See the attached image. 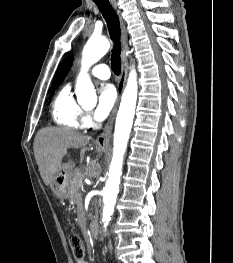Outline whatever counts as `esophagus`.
Returning <instances> with one entry per match:
<instances>
[{
  "label": "esophagus",
  "mask_w": 233,
  "mask_h": 263,
  "mask_svg": "<svg viewBox=\"0 0 233 263\" xmlns=\"http://www.w3.org/2000/svg\"><path fill=\"white\" fill-rule=\"evenodd\" d=\"M111 4L115 11L117 12L119 19H120V24H121V40H122V51H121V74L120 78L118 81V98H120L125 83L127 79V71H128V66H127V55L129 53V45H128V38H127V31L125 27V23L122 19L121 12L118 9V6L115 2V0H111ZM117 105L118 102L116 103L115 107L112 110V113L102 131V133L97 137L96 139V146L98 148H106L111 140L112 136V129H113V123L117 111Z\"/></svg>",
  "instance_id": "34e87169"
}]
</instances>
